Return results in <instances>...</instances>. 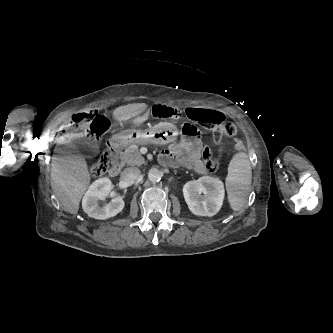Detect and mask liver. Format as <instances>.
I'll list each match as a JSON object with an SVG mask.
<instances>
[{"label": "liver", "mask_w": 333, "mask_h": 333, "mask_svg": "<svg viewBox=\"0 0 333 333\" xmlns=\"http://www.w3.org/2000/svg\"><path fill=\"white\" fill-rule=\"evenodd\" d=\"M147 106L145 103H135L118 107L113 111V118L118 122L127 121L142 113ZM54 152L57 155L52 161L51 187L65 211L77 214L90 181L86 161L78 156L65 155L62 147L57 146Z\"/></svg>", "instance_id": "liver-1"}]
</instances>
